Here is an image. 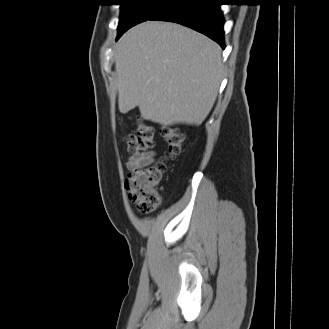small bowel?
<instances>
[{"instance_id": "small-bowel-1", "label": "small bowel", "mask_w": 329, "mask_h": 329, "mask_svg": "<svg viewBox=\"0 0 329 329\" xmlns=\"http://www.w3.org/2000/svg\"><path fill=\"white\" fill-rule=\"evenodd\" d=\"M154 160V152H141L132 154L127 161V168L133 170L140 166L149 165Z\"/></svg>"}]
</instances>
